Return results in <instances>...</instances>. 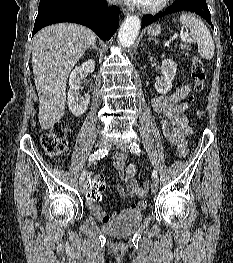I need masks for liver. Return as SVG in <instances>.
<instances>
[{"instance_id": "6515ba94", "label": "liver", "mask_w": 233, "mask_h": 263, "mask_svg": "<svg viewBox=\"0 0 233 263\" xmlns=\"http://www.w3.org/2000/svg\"><path fill=\"white\" fill-rule=\"evenodd\" d=\"M94 42L96 35L92 30L74 23L50 25L34 36L32 67L42 129H50L64 115L66 80Z\"/></svg>"}]
</instances>
